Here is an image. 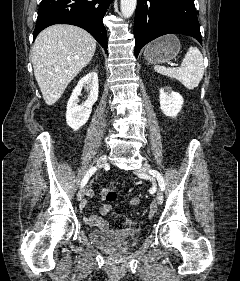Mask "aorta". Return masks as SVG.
I'll return each mask as SVG.
<instances>
[{
    "instance_id": "obj_1",
    "label": "aorta",
    "mask_w": 240,
    "mask_h": 281,
    "mask_svg": "<svg viewBox=\"0 0 240 281\" xmlns=\"http://www.w3.org/2000/svg\"><path fill=\"white\" fill-rule=\"evenodd\" d=\"M137 0H121L120 9L124 18H129L133 15L136 8Z\"/></svg>"
}]
</instances>
